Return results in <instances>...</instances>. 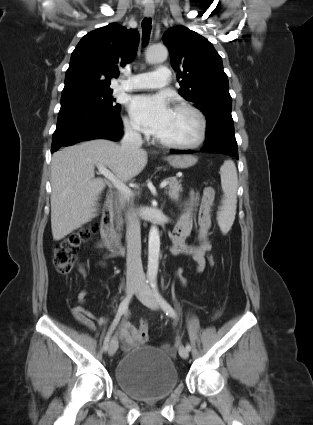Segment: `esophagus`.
Returning <instances> with one entry per match:
<instances>
[{"label": "esophagus", "mask_w": 313, "mask_h": 425, "mask_svg": "<svg viewBox=\"0 0 313 425\" xmlns=\"http://www.w3.org/2000/svg\"><path fill=\"white\" fill-rule=\"evenodd\" d=\"M144 15L146 17H151L154 15V7H145Z\"/></svg>", "instance_id": "esophagus-1"}]
</instances>
